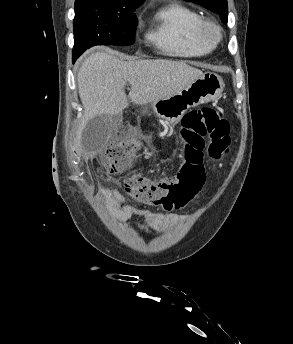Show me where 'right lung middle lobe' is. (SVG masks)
<instances>
[{
  "mask_svg": "<svg viewBox=\"0 0 293 344\" xmlns=\"http://www.w3.org/2000/svg\"><path fill=\"white\" fill-rule=\"evenodd\" d=\"M138 6L108 4L83 0L75 4L73 21L76 60L86 49L94 45L126 46L134 43Z\"/></svg>",
  "mask_w": 293,
  "mask_h": 344,
  "instance_id": "dd1d6c3e",
  "label": "right lung middle lobe"
}]
</instances>
